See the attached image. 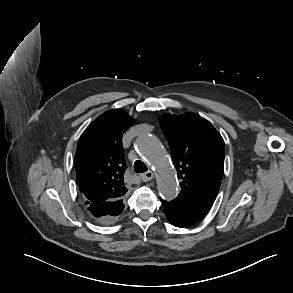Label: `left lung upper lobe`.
I'll return each instance as SVG.
<instances>
[{"mask_svg": "<svg viewBox=\"0 0 293 293\" xmlns=\"http://www.w3.org/2000/svg\"><path fill=\"white\" fill-rule=\"evenodd\" d=\"M171 156L181 179L176 199L189 207L207 212L222 181L225 144L206 119L190 112L160 118Z\"/></svg>", "mask_w": 293, "mask_h": 293, "instance_id": "left-lung-upper-lobe-1", "label": "left lung upper lobe"}]
</instances>
